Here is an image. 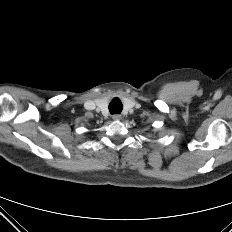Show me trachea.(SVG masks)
Instances as JSON below:
<instances>
[{
	"instance_id": "obj_1",
	"label": "trachea",
	"mask_w": 232,
	"mask_h": 232,
	"mask_svg": "<svg viewBox=\"0 0 232 232\" xmlns=\"http://www.w3.org/2000/svg\"><path fill=\"white\" fill-rule=\"evenodd\" d=\"M123 109V105L121 101L117 98L113 99V101L109 104V111L111 114H120Z\"/></svg>"
}]
</instances>
